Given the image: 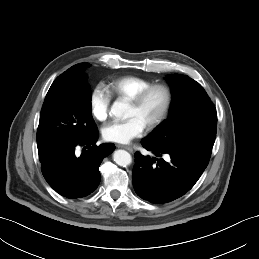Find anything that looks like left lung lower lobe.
I'll return each instance as SVG.
<instances>
[{"label": "left lung lower lobe", "mask_w": 259, "mask_h": 259, "mask_svg": "<svg viewBox=\"0 0 259 259\" xmlns=\"http://www.w3.org/2000/svg\"><path fill=\"white\" fill-rule=\"evenodd\" d=\"M142 146L154 156L135 153L133 186L139 197L151 203L171 202L187 193L206 169L213 144L196 141L178 148L157 146L143 139ZM170 155L171 161L163 159Z\"/></svg>", "instance_id": "left-lung-lower-lobe-1"}]
</instances>
